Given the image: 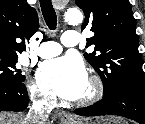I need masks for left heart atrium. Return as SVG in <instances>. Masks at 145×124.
<instances>
[{"label": "left heart atrium", "instance_id": "39dd6f15", "mask_svg": "<svg viewBox=\"0 0 145 124\" xmlns=\"http://www.w3.org/2000/svg\"><path fill=\"white\" fill-rule=\"evenodd\" d=\"M40 84L58 96L76 100L88 82L82 61L75 56L60 57L43 63L38 72Z\"/></svg>", "mask_w": 145, "mask_h": 124}]
</instances>
